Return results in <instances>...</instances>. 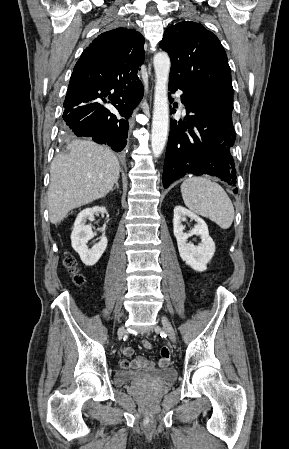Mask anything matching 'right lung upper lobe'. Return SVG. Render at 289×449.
Listing matches in <instances>:
<instances>
[{
	"instance_id": "obj_1",
	"label": "right lung upper lobe",
	"mask_w": 289,
	"mask_h": 449,
	"mask_svg": "<svg viewBox=\"0 0 289 449\" xmlns=\"http://www.w3.org/2000/svg\"><path fill=\"white\" fill-rule=\"evenodd\" d=\"M144 61V38L128 28L102 33L87 47L71 76L89 82L117 83L137 77Z\"/></svg>"
}]
</instances>
